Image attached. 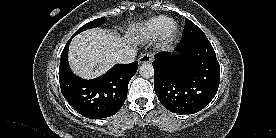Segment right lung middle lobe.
I'll list each match as a JSON object with an SVG mask.
<instances>
[{"label":"right lung middle lobe","instance_id":"1","mask_svg":"<svg viewBox=\"0 0 276 138\" xmlns=\"http://www.w3.org/2000/svg\"><path fill=\"white\" fill-rule=\"evenodd\" d=\"M104 22H105V18H97V19H95V20H93V21H91V22H89V23L83 25L81 28L78 29V31H76V32L74 33L73 36L77 35L78 33L82 32V31H84V30H87V29H90V28H94V27L100 26V25H102ZM73 36H72V37H73Z\"/></svg>","mask_w":276,"mask_h":138}]
</instances>
